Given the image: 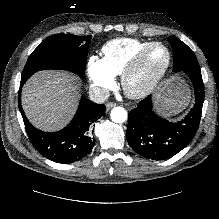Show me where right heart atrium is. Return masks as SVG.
<instances>
[{
  "mask_svg": "<svg viewBox=\"0 0 219 219\" xmlns=\"http://www.w3.org/2000/svg\"><path fill=\"white\" fill-rule=\"evenodd\" d=\"M86 72L91 88L97 94L105 93L114 81V75L104 65L102 58L97 55L89 57Z\"/></svg>",
  "mask_w": 219,
  "mask_h": 219,
  "instance_id": "1",
  "label": "right heart atrium"
}]
</instances>
